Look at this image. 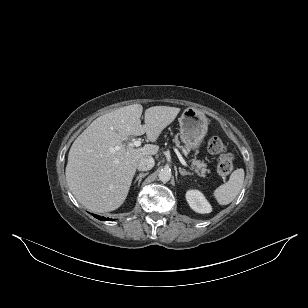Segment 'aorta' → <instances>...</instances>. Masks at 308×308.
Segmentation results:
<instances>
[{"label": "aorta", "mask_w": 308, "mask_h": 308, "mask_svg": "<svg viewBox=\"0 0 308 308\" xmlns=\"http://www.w3.org/2000/svg\"><path fill=\"white\" fill-rule=\"evenodd\" d=\"M171 176H172L171 170L166 168L161 169L158 174L159 180L162 182H168L171 179Z\"/></svg>", "instance_id": "762f6f07"}]
</instances>
